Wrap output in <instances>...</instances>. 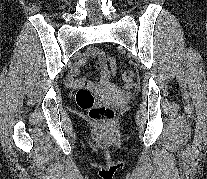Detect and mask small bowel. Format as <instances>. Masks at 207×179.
<instances>
[{
    "label": "small bowel",
    "instance_id": "1",
    "mask_svg": "<svg viewBox=\"0 0 207 179\" xmlns=\"http://www.w3.org/2000/svg\"><path fill=\"white\" fill-rule=\"evenodd\" d=\"M92 57H97L99 60L101 70V79L99 82H91L86 79H78L76 75L80 71L81 67L85 64V62ZM115 72V63L114 60L105 52L101 51L97 47H89L85 50L83 55L77 61L73 69L71 70L68 85L72 88L79 87H88L91 89H96L100 85H105L108 83L110 78L114 75Z\"/></svg>",
    "mask_w": 207,
    "mask_h": 179
}]
</instances>
